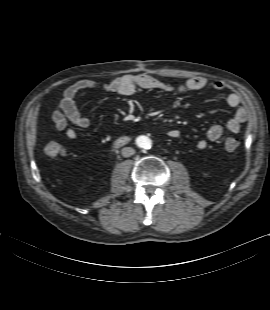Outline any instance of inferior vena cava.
<instances>
[{
  "instance_id": "602c4592",
  "label": "inferior vena cava",
  "mask_w": 270,
  "mask_h": 310,
  "mask_svg": "<svg viewBox=\"0 0 270 310\" xmlns=\"http://www.w3.org/2000/svg\"><path fill=\"white\" fill-rule=\"evenodd\" d=\"M134 153H135V150L131 147H124L122 149L123 157H130V156L134 155Z\"/></svg>"
}]
</instances>
